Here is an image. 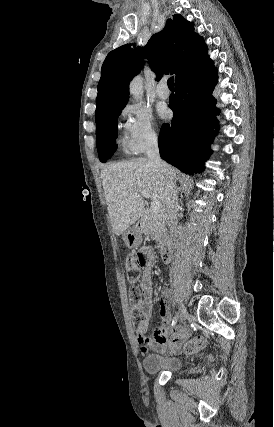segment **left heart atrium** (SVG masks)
<instances>
[{
	"label": "left heart atrium",
	"mask_w": 274,
	"mask_h": 427,
	"mask_svg": "<svg viewBox=\"0 0 274 427\" xmlns=\"http://www.w3.org/2000/svg\"><path fill=\"white\" fill-rule=\"evenodd\" d=\"M157 117L161 121L168 120L170 117V111L165 105H159L156 110Z\"/></svg>",
	"instance_id": "1"
}]
</instances>
